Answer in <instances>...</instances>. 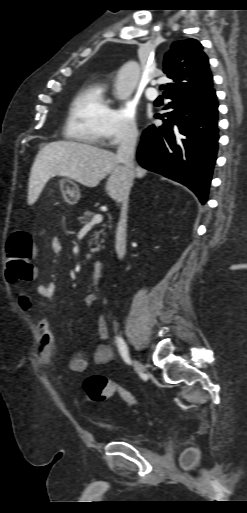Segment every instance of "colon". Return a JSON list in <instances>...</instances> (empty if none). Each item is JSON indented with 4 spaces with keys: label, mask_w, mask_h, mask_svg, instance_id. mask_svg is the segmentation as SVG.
Instances as JSON below:
<instances>
[{
    "label": "colon",
    "mask_w": 247,
    "mask_h": 513,
    "mask_svg": "<svg viewBox=\"0 0 247 513\" xmlns=\"http://www.w3.org/2000/svg\"><path fill=\"white\" fill-rule=\"evenodd\" d=\"M7 254L6 278L10 282H21L33 278L35 268L33 263V238L30 231L24 230L14 233L9 239ZM83 388L88 400L93 403H103L117 395L132 407L138 405V399L131 391L117 385L102 374L87 377L83 383ZM182 464L186 468L191 467V456H185L182 459Z\"/></svg>",
    "instance_id": "colon-1"
}]
</instances>
